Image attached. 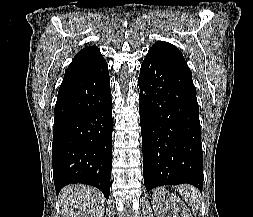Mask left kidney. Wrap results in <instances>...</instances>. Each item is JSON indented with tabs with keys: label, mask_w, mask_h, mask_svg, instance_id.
<instances>
[{
	"label": "left kidney",
	"mask_w": 253,
	"mask_h": 217,
	"mask_svg": "<svg viewBox=\"0 0 253 217\" xmlns=\"http://www.w3.org/2000/svg\"><path fill=\"white\" fill-rule=\"evenodd\" d=\"M153 208L157 217H192L185 203L165 188L153 194Z\"/></svg>",
	"instance_id": "left-kidney-1"
}]
</instances>
